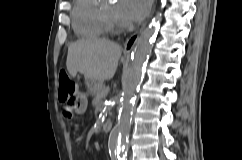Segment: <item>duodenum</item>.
<instances>
[{
  "label": "duodenum",
  "mask_w": 242,
  "mask_h": 160,
  "mask_svg": "<svg viewBox=\"0 0 242 160\" xmlns=\"http://www.w3.org/2000/svg\"><path fill=\"white\" fill-rule=\"evenodd\" d=\"M111 129H112V122L111 121H106L102 126V131L104 133H108Z\"/></svg>",
  "instance_id": "1"
}]
</instances>
